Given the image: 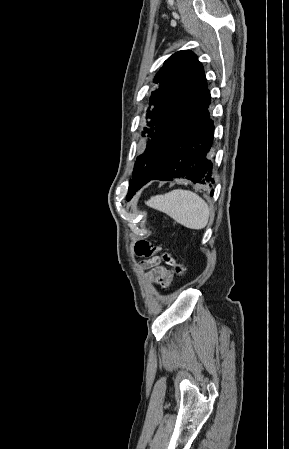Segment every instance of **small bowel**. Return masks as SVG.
<instances>
[{"mask_svg": "<svg viewBox=\"0 0 289 449\" xmlns=\"http://www.w3.org/2000/svg\"><path fill=\"white\" fill-rule=\"evenodd\" d=\"M141 267L147 271L148 278L161 287H168L173 280V273L160 264L158 256L143 260Z\"/></svg>", "mask_w": 289, "mask_h": 449, "instance_id": "obj_1", "label": "small bowel"}]
</instances>
